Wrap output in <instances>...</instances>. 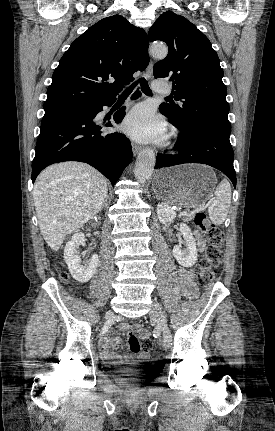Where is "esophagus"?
<instances>
[{"label": "esophagus", "mask_w": 275, "mask_h": 431, "mask_svg": "<svg viewBox=\"0 0 275 431\" xmlns=\"http://www.w3.org/2000/svg\"><path fill=\"white\" fill-rule=\"evenodd\" d=\"M152 72H153V62L150 60L148 66L145 70V77L148 79L151 78ZM132 150H133V155L136 156L138 154V152L141 150V147L138 145H133Z\"/></svg>", "instance_id": "esophagus-1"}]
</instances>
